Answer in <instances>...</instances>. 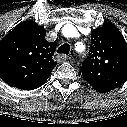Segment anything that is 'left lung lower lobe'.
<instances>
[{"mask_svg":"<svg viewBox=\"0 0 127 127\" xmlns=\"http://www.w3.org/2000/svg\"><path fill=\"white\" fill-rule=\"evenodd\" d=\"M92 87H93L94 90H96L98 92H102V93L109 92L113 89V88H110L108 86L99 85V84H93Z\"/></svg>","mask_w":127,"mask_h":127,"instance_id":"obj_1","label":"left lung lower lobe"}]
</instances>
